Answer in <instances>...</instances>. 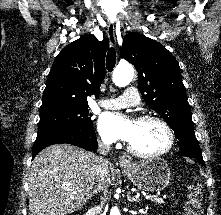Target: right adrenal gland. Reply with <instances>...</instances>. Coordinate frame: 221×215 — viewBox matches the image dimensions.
Masks as SVG:
<instances>
[{"label": "right adrenal gland", "instance_id": "2a0ac1e0", "mask_svg": "<svg viewBox=\"0 0 221 215\" xmlns=\"http://www.w3.org/2000/svg\"><path fill=\"white\" fill-rule=\"evenodd\" d=\"M98 191H99V188L94 189L93 192L90 194V198L94 196V194H97Z\"/></svg>", "mask_w": 221, "mask_h": 215}]
</instances>
